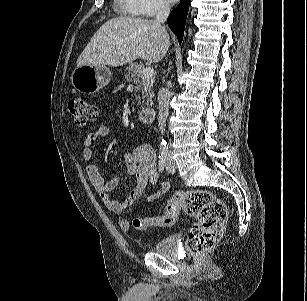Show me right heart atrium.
<instances>
[{"label": "right heart atrium", "instance_id": "right-heart-atrium-1", "mask_svg": "<svg viewBox=\"0 0 307 301\" xmlns=\"http://www.w3.org/2000/svg\"><path fill=\"white\" fill-rule=\"evenodd\" d=\"M133 10L144 17H155L168 10L166 0H131Z\"/></svg>", "mask_w": 307, "mask_h": 301}]
</instances>
